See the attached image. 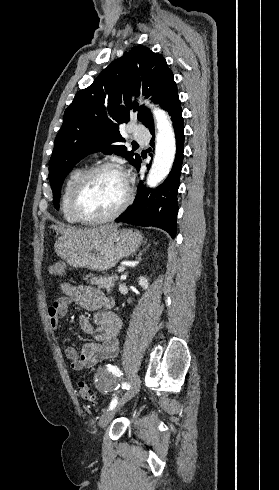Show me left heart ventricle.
<instances>
[{
  "instance_id": "1",
  "label": "left heart ventricle",
  "mask_w": 279,
  "mask_h": 490,
  "mask_svg": "<svg viewBox=\"0 0 279 490\" xmlns=\"http://www.w3.org/2000/svg\"><path fill=\"white\" fill-rule=\"evenodd\" d=\"M125 196L122 176L113 171H104L88 183L81 198V210L88 217L103 216L113 212Z\"/></svg>"
}]
</instances>
